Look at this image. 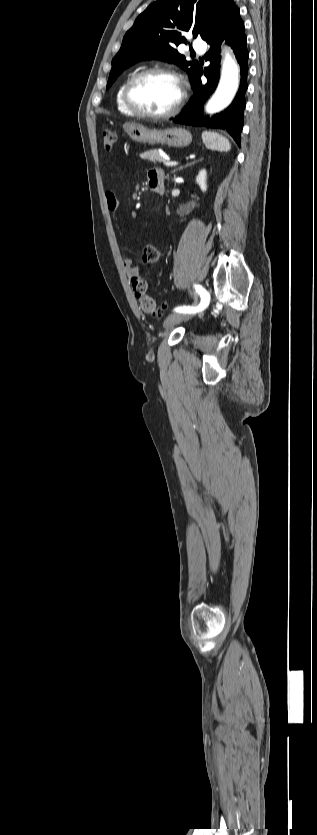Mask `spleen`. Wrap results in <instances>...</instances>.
<instances>
[{
  "mask_svg": "<svg viewBox=\"0 0 317 835\" xmlns=\"http://www.w3.org/2000/svg\"><path fill=\"white\" fill-rule=\"evenodd\" d=\"M202 140L205 146L213 151L227 152L231 149L229 140L213 131H204L202 133Z\"/></svg>",
  "mask_w": 317,
  "mask_h": 835,
  "instance_id": "spleen-1",
  "label": "spleen"
}]
</instances>
